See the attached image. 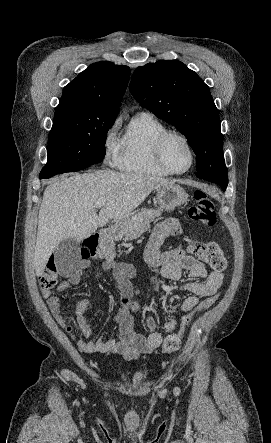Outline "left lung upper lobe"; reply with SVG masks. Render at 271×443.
<instances>
[{
  "label": "left lung upper lobe",
  "instance_id": "obj_1",
  "mask_svg": "<svg viewBox=\"0 0 271 443\" xmlns=\"http://www.w3.org/2000/svg\"><path fill=\"white\" fill-rule=\"evenodd\" d=\"M130 92L141 106L185 135L196 154V176L225 191L220 119L204 81L178 60H159L135 70Z\"/></svg>",
  "mask_w": 271,
  "mask_h": 443
}]
</instances>
